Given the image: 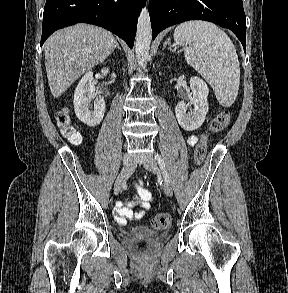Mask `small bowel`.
I'll use <instances>...</instances> for the list:
<instances>
[{"label": "small bowel", "mask_w": 288, "mask_h": 293, "mask_svg": "<svg viewBox=\"0 0 288 293\" xmlns=\"http://www.w3.org/2000/svg\"><path fill=\"white\" fill-rule=\"evenodd\" d=\"M196 142H197V137L195 135H191L188 138L189 145L194 146ZM135 190H136V194L133 200L127 201V202H120L117 205L116 219L121 224L126 222V218H129V219L133 217H135L136 219L142 218L145 214V211L148 210L150 207V201L152 199L151 193L138 183H135ZM137 200H140L142 209L139 212L133 214L130 207L134 206Z\"/></svg>", "instance_id": "obj_1"}]
</instances>
